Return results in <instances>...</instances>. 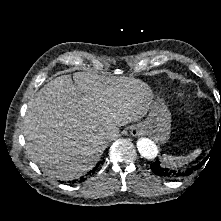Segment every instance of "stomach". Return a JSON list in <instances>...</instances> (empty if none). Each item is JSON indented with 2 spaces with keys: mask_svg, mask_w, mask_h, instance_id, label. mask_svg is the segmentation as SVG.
<instances>
[{
  "mask_svg": "<svg viewBox=\"0 0 221 221\" xmlns=\"http://www.w3.org/2000/svg\"><path fill=\"white\" fill-rule=\"evenodd\" d=\"M140 125L160 143L168 141L171 114L165 103L162 100L152 103L148 117Z\"/></svg>",
  "mask_w": 221,
  "mask_h": 221,
  "instance_id": "1",
  "label": "stomach"
}]
</instances>
